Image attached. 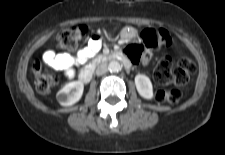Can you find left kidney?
I'll use <instances>...</instances> for the list:
<instances>
[{
  "label": "left kidney",
  "mask_w": 225,
  "mask_h": 155,
  "mask_svg": "<svg viewBox=\"0 0 225 155\" xmlns=\"http://www.w3.org/2000/svg\"><path fill=\"white\" fill-rule=\"evenodd\" d=\"M135 85L140 96L145 99H151L153 97V86L150 79L146 75H136Z\"/></svg>",
  "instance_id": "5707ae66"
}]
</instances>
